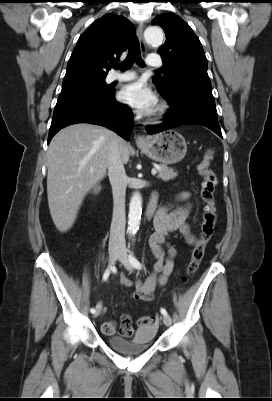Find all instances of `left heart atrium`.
Segmentation results:
<instances>
[{
  "label": "left heart atrium",
  "mask_w": 272,
  "mask_h": 401,
  "mask_svg": "<svg viewBox=\"0 0 272 401\" xmlns=\"http://www.w3.org/2000/svg\"><path fill=\"white\" fill-rule=\"evenodd\" d=\"M120 100L139 114L150 113L156 105L154 92L143 82L124 86L119 93Z\"/></svg>",
  "instance_id": "39dd6f15"
}]
</instances>
